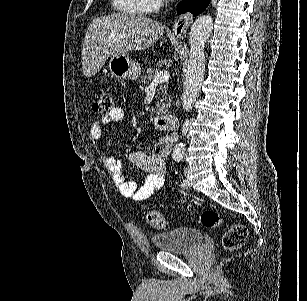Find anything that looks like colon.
<instances>
[{
    "label": "colon",
    "instance_id": "obj_1",
    "mask_svg": "<svg viewBox=\"0 0 307 301\" xmlns=\"http://www.w3.org/2000/svg\"><path fill=\"white\" fill-rule=\"evenodd\" d=\"M112 108V101L108 94L103 93L92 103V109L96 113H106ZM147 223L155 229H165L167 221L164 215L156 209H148L145 212ZM199 223L205 228H216L228 224L227 230L223 233L221 244L224 249L232 251L241 248L247 238V229L239 223H227L216 211L205 210L199 217Z\"/></svg>",
    "mask_w": 307,
    "mask_h": 301
}]
</instances>
